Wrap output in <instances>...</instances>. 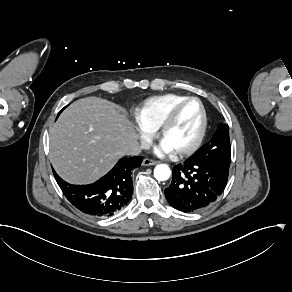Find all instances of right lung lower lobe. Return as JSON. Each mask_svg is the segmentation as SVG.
Instances as JSON below:
<instances>
[{"label": "right lung lower lobe", "instance_id": "right-lung-lower-lobe-1", "mask_svg": "<svg viewBox=\"0 0 292 292\" xmlns=\"http://www.w3.org/2000/svg\"><path fill=\"white\" fill-rule=\"evenodd\" d=\"M141 156L121 158L105 176L88 185H72L53 170L55 179L69 202L85 214L109 217L125 207L133 193L132 169L140 167Z\"/></svg>", "mask_w": 292, "mask_h": 292}]
</instances>
